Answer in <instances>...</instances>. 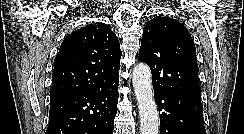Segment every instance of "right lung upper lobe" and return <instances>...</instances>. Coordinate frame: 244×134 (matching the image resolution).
Returning a JSON list of instances; mask_svg holds the SVG:
<instances>
[{"label":"right lung upper lobe","mask_w":244,"mask_h":134,"mask_svg":"<svg viewBox=\"0 0 244 134\" xmlns=\"http://www.w3.org/2000/svg\"><path fill=\"white\" fill-rule=\"evenodd\" d=\"M121 50L104 23L86 25L66 37L54 60L51 99L94 91L119 77Z\"/></svg>","instance_id":"right-lung-upper-lobe-1"}]
</instances>
